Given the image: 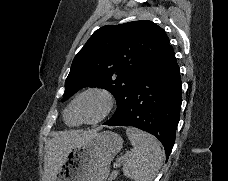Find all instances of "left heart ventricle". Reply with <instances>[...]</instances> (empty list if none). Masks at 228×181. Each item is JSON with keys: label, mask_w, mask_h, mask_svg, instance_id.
<instances>
[{"label": "left heart ventricle", "mask_w": 228, "mask_h": 181, "mask_svg": "<svg viewBox=\"0 0 228 181\" xmlns=\"http://www.w3.org/2000/svg\"><path fill=\"white\" fill-rule=\"evenodd\" d=\"M101 99L96 95H87L79 100L78 108L86 119H93L101 108Z\"/></svg>", "instance_id": "b2bd125f"}]
</instances>
